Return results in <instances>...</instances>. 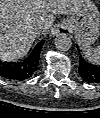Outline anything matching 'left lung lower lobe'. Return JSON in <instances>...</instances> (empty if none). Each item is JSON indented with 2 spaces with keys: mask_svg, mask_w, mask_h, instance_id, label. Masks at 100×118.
I'll use <instances>...</instances> for the list:
<instances>
[{
  "mask_svg": "<svg viewBox=\"0 0 100 118\" xmlns=\"http://www.w3.org/2000/svg\"><path fill=\"white\" fill-rule=\"evenodd\" d=\"M79 74L88 83H100V65H94L79 58Z\"/></svg>",
  "mask_w": 100,
  "mask_h": 118,
  "instance_id": "0a47b994",
  "label": "left lung lower lobe"
}]
</instances>
